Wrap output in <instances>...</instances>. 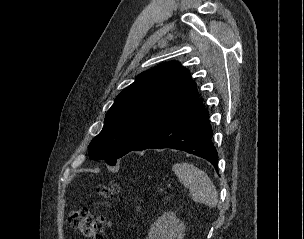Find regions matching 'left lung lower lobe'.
Segmentation results:
<instances>
[{"label":"left lung lower lobe","instance_id":"1","mask_svg":"<svg viewBox=\"0 0 304 239\" xmlns=\"http://www.w3.org/2000/svg\"><path fill=\"white\" fill-rule=\"evenodd\" d=\"M209 114L200 98L164 123L133 150L172 148L208 160L218 171V153L212 144Z\"/></svg>","mask_w":304,"mask_h":239}]
</instances>
